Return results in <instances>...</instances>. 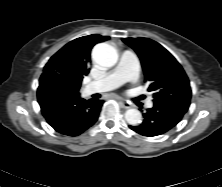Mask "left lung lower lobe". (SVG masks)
<instances>
[{
    "label": "left lung lower lobe",
    "instance_id": "0a47b994",
    "mask_svg": "<svg viewBox=\"0 0 222 187\" xmlns=\"http://www.w3.org/2000/svg\"><path fill=\"white\" fill-rule=\"evenodd\" d=\"M191 93H176L154 99V106L143 114L142 124L129 126L135 132L154 137L176 126L189 108Z\"/></svg>",
    "mask_w": 222,
    "mask_h": 187
}]
</instances>
